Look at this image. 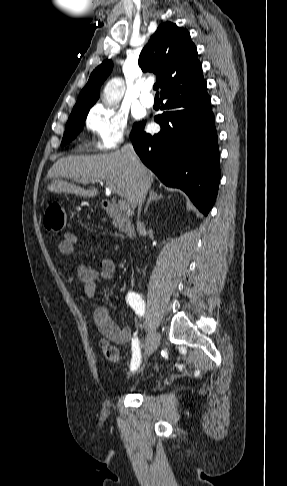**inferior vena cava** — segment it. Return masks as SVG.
Segmentation results:
<instances>
[{
	"instance_id": "obj_1",
	"label": "inferior vena cava",
	"mask_w": 287,
	"mask_h": 486,
	"mask_svg": "<svg viewBox=\"0 0 287 486\" xmlns=\"http://www.w3.org/2000/svg\"><path fill=\"white\" fill-rule=\"evenodd\" d=\"M122 152L126 153L129 158L132 160L133 164L136 167V170L139 174V183H138V190L136 194V200L138 204V216L140 215L141 212V207L142 204L144 203L145 197L147 195V192L151 186L150 180L146 174L145 168L140 162L137 154L134 151V148L132 144H126L123 146L121 149Z\"/></svg>"
}]
</instances>
